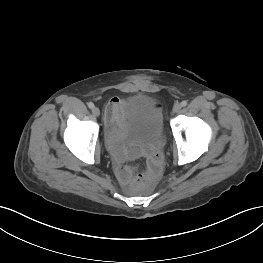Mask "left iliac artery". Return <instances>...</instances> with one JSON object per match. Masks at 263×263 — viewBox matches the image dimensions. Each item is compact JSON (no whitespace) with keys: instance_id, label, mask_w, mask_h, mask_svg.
<instances>
[{"instance_id":"left-iliac-artery-1","label":"left iliac artery","mask_w":263,"mask_h":263,"mask_svg":"<svg viewBox=\"0 0 263 263\" xmlns=\"http://www.w3.org/2000/svg\"><path fill=\"white\" fill-rule=\"evenodd\" d=\"M186 105H187V101L184 100V101L181 102V106L182 107H185Z\"/></svg>"}]
</instances>
